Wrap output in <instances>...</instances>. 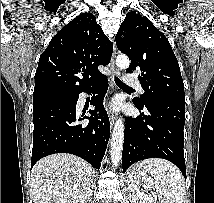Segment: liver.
I'll return each mask as SVG.
<instances>
[{
	"label": "liver",
	"mask_w": 214,
	"mask_h": 203,
	"mask_svg": "<svg viewBox=\"0 0 214 203\" xmlns=\"http://www.w3.org/2000/svg\"><path fill=\"white\" fill-rule=\"evenodd\" d=\"M92 167L72 154H52L39 160L31 171L34 203H90Z\"/></svg>",
	"instance_id": "1"
}]
</instances>
